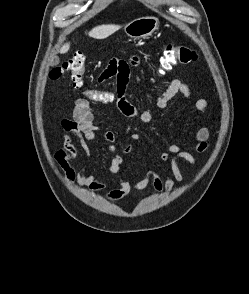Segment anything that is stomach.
I'll list each match as a JSON object with an SVG mask.
<instances>
[{
	"label": "stomach",
	"instance_id": "obj_1",
	"mask_svg": "<svg viewBox=\"0 0 249 294\" xmlns=\"http://www.w3.org/2000/svg\"><path fill=\"white\" fill-rule=\"evenodd\" d=\"M158 19L153 16L140 17L129 22L124 27L126 35L134 40L150 37L158 28Z\"/></svg>",
	"mask_w": 249,
	"mask_h": 294
}]
</instances>
